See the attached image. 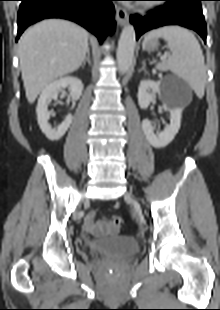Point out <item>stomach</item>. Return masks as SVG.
Returning <instances> with one entry per match:
<instances>
[{"instance_id":"1","label":"stomach","mask_w":220,"mask_h":310,"mask_svg":"<svg viewBox=\"0 0 220 310\" xmlns=\"http://www.w3.org/2000/svg\"><path fill=\"white\" fill-rule=\"evenodd\" d=\"M144 47L148 50V51H152L154 49L157 48L158 46V40L157 39H151L147 42H145L144 44Z\"/></svg>"}]
</instances>
